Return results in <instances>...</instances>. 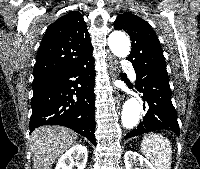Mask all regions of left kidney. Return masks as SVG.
<instances>
[{
    "label": "left kidney",
    "instance_id": "1",
    "mask_svg": "<svg viewBox=\"0 0 200 169\" xmlns=\"http://www.w3.org/2000/svg\"><path fill=\"white\" fill-rule=\"evenodd\" d=\"M124 163L126 169H156L149 160L132 150L125 153Z\"/></svg>",
    "mask_w": 200,
    "mask_h": 169
}]
</instances>
